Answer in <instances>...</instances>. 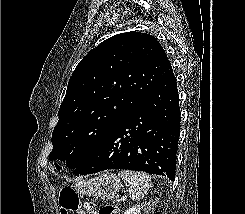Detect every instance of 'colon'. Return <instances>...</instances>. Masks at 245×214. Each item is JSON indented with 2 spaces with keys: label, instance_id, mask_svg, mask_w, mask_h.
Segmentation results:
<instances>
[{
  "label": "colon",
  "instance_id": "colon-1",
  "mask_svg": "<svg viewBox=\"0 0 245 214\" xmlns=\"http://www.w3.org/2000/svg\"><path fill=\"white\" fill-rule=\"evenodd\" d=\"M61 214H119L118 209L110 204L103 205L98 211L81 205L78 194L70 187L62 188L59 197Z\"/></svg>",
  "mask_w": 245,
  "mask_h": 214
}]
</instances>
